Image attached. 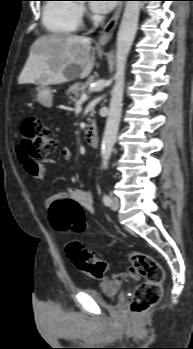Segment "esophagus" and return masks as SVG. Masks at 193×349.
Segmentation results:
<instances>
[{"mask_svg":"<svg viewBox=\"0 0 193 349\" xmlns=\"http://www.w3.org/2000/svg\"><path fill=\"white\" fill-rule=\"evenodd\" d=\"M123 4L122 1H120L115 9V12L113 13L112 17L108 20V22L103 27L99 38H98V45L99 46H105L110 39L113 37L114 31L117 27L121 12H122Z\"/></svg>","mask_w":193,"mask_h":349,"instance_id":"34e87169","label":"esophagus"}]
</instances>
